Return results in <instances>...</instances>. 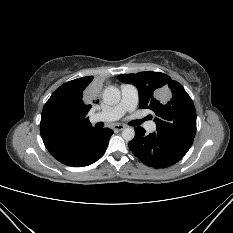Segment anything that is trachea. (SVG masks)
<instances>
[{
	"label": "trachea",
	"instance_id": "1",
	"mask_svg": "<svg viewBox=\"0 0 233 233\" xmlns=\"http://www.w3.org/2000/svg\"><path fill=\"white\" fill-rule=\"evenodd\" d=\"M144 120H147V118L142 119V120L131 121V122H130V125H131V126H138V125H140Z\"/></svg>",
	"mask_w": 233,
	"mask_h": 233
}]
</instances>
